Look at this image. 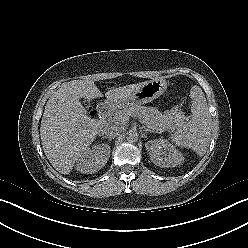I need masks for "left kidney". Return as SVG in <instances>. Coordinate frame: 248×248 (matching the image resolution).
I'll use <instances>...</instances> for the list:
<instances>
[{
    "label": "left kidney",
    "instance_id": "5707ae66",
    "mask_svg": "<svg viewBox=\"0 0 248 248\" xmlns=\"http://www.w3.org/2000/svg\"><path fill=\"white\" fill-rule=\"evenodd\" d=\"M145 146L149 151L151 161L162 168L175 167L184 161L182 153L166 140H151Z\"/></svg>",
    "mask_w": 248,
    "mask_h": 248
}]
</instances>
